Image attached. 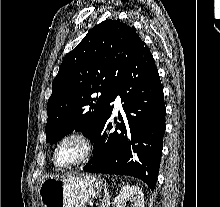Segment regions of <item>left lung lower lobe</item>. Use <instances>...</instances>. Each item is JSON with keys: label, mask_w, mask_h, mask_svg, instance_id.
<instances>
[{"label": "left lung lower lobe", "mask_w": 220, "mask_h": 207, "mask_svg": "<svg viewBox=\"0 0 220 207\" xmlns=\"http://www.w3.org/2000/svg\"><path fill=\"white\" fill-rule=\"evenodd\" d=\"M120 95L125 119L110 122L113 105L93 137V157L82 169L91 173L129 175L155 188L165 132V103L158 70L142 42L112 97Z\"/></svg>", "instance_id": "0a47b994"}]
</instances>
